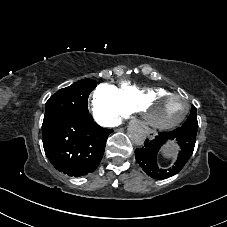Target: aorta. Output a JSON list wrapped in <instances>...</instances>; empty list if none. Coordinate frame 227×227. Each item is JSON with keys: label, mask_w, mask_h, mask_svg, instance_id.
<instances>
[{"label": "aorta", "mask_w": 227, "mask_h": 227, "mask_svg": "<svg viewBox=\"0 0 227 227\" xmlns=\"http://www.w3.org/2000/svg\"><path fill=\"white\" fill-rule=\"evenodd\" d=\"M131 140L138 146L142 145L145 140L144 127L139 122H134L129 128Z\"/></svg>", "instance_id": "1"}]
</instances>
